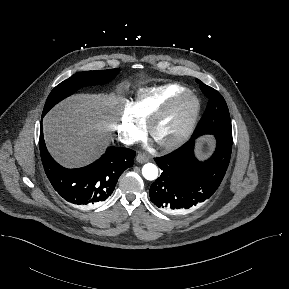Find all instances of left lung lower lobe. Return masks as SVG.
I'll return each instance as SVG.
<instances>
[{"instance_id":"1","label":"left lung lower lobe","mask_w":289,"mask_h":289,"mask_svg":"<svg viewBox=\"0 0 289 289\" xmlns=\"http://www.w3.org/2000/svg\"><path fill=\"white\" fill-rule=\"evenodd\" d=\"M217 145L213 155L200 162L194 155L195 139L174 152L156 158L163 170L150 187V199L160 209L172 214L192 211L209 199L219 187L227 170L231 151L232 134H214Z\"/></svg>"}]
</instances>
